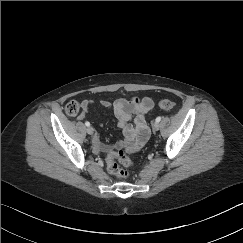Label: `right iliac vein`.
I'll list each match as a JSON object with an SVG mask.
<instances>
[{
  "instance_id": "63e3f726",
  "label": "right iliac vein",
  "mask_w": 243,
  "mask_h": 243,
  "mask_svg": "<svg viewBox=\"0 0 243 243\" xmlns=\"http://www.w3.org/2000/svg\"><path fill=\"white\" fill-rule=\"evenodd\" d=\"M94 128L93 127H88L87 128V133L89 134V135H92L93 133H94Z\"/></svg>"
}]
</instances>
